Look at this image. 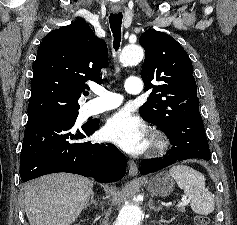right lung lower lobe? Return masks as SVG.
<instances>
[{"mask_svg": "<svg viewBox=\"0 0 237 225\" xmlns=\"http://www.w3.org/2000/svg\"><path fill=\"white\" fill-rule=\"evenodd\" d=\"M76 119L47 116L28 119L20 156L21 181L68 172L110 183L126 172V157L114 145L81 142L99 128V121L76 129Z\"/></svg>", "mask_w": 237, "mask_h": 225, "instance_id": "right-lung-lower-lobe-1", "label": "right lung lower lobe"}]
</instances>
